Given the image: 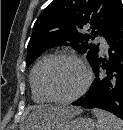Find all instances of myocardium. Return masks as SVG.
<instances>
[{
	"mask_svg": "<svg viewBox=\"0 0 123 130\" xmlns=\"http://www.w3.org/2000/svg\"><path fill=\"white\" fill-rule=\"evenodd\" d=\"M62 60L75 61L83 68L85 75H86L85 82H84L83 86L81 87V89L70 97L58 96L54 92V90L52 89L51 84H50L51 72H52L54 66ZM91 83H92V72H91L89 66L84 62L83 59H81L80 57H78L77 55L72 54V53H60V54L54 55L50 59V61L47 63V65L45 66L43 73H42L43 90H44L45 94L50 98L51 101H54L57 103H72V102L78 100L81 96H83L86 93V91L90 87Z\"/></svg>",
	"mask_w": 123,
	"mask_h": 130,
	"instance_id": "1",
	"label": "myocardium"
}]
</instances>
